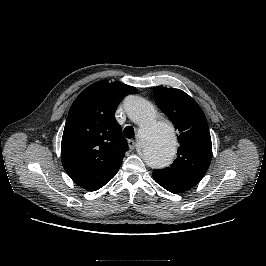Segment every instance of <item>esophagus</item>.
Masks as SVG:
<instances>
[{"label": "esophagus", "instance_id": "34e87169", "mask_svg": "<svg viewBox=\"0 0 266 266\" xmlns=\"http://www.w3.org/2000/svg\"><path fill=\"white\" fill-rule=\"evenodd\" d=\"M128 146L131 150L135 148V141L134 140H128Z\"/></svg>", "mask_w": 266, "mask_h": 266}]
</instances>
